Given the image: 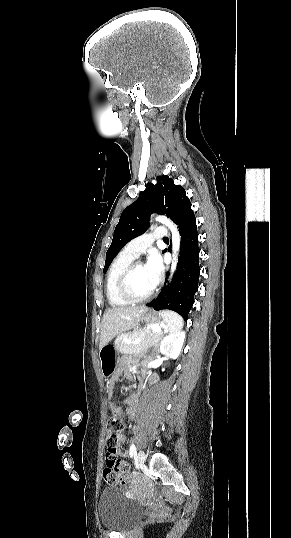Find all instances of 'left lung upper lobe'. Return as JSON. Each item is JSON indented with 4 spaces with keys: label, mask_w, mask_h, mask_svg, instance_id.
I'll return each instance as SVG.
<instances>
[{
    "label": "left lung upper lobe",
    "mask_w": 291,
    "mask_h": 538,
    "mask_svg": "<svg viewBox=\"0 0 291 538\" xmlns=\"http://www.w3.org/2000/svg\"><path fill=\"white\" fill-rule=\"evenodd\" d=\"M190 211L191 202L184 188L166 175L157 177L155 185L149 183L139 198L123 210L106 253L104 272L125 244L147 230L152 213L166 214L178 224Z\"/></svg>",
    "instance_id": "5c2ea615"
}]
</instances>
